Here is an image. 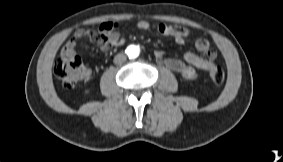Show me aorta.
Here are the masks:
<instances>
[{
    "label": "aorta",
    "instance_id": "1",
    "mask_svg": "<svg viewBox=\"0 0 283 162\" xmlns=\"http://www.w3.org/2000/svg\"><path fill=\"white\" fill-rule=\"evenodd\" d=\"M126 53L129 58H136L139 55V47L131 45L127 48Z\"/></svg>",
    "mask_w": 283,
    "mask_h": 162
}]
</instances>
